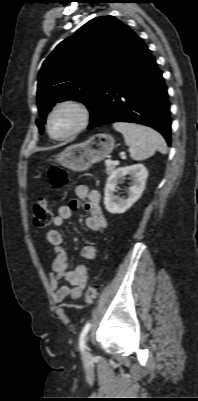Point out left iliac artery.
<instances>
[{
    "instance_id": "left-iliac-artery-1",
    "label": "left iliac artery",
    "mask_w": 198,
    "mask_h": 401,
    "mask_svg": "<svg viewBox=\"0 0 198 401\" xmlns=\"http://www.w3.org/2000/svg\"><path fill=\"white\" fill-rule=\"evenodd\" d=\"M90 327H91V323L88 322V323L84 326V328L82 329V332H81V334H80L79 346H80L81 351L84 350V347H85V345H84V337H85V335L88 333Z\"/></svg>"
}]
</instances>
